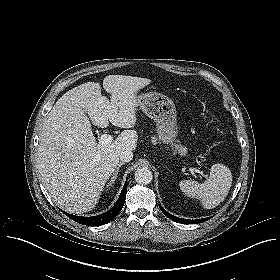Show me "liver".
I'll list each match as a JSON object with an SVG mask.
<instances>
[{
  "label": "liver",
  "instance_id": "6515ba94",
  "mask_svg": "<svg viewBox=\"0 0 280 280\" xmlns=\"http://www.w3.org/2000/svg\"><path fill=\"white\" fill-rule=\"evenodd\" d=\"M150 79L109 75L103 88L83 83L62 95L44 119L37 153L41 181L53 201L70 213L93 209L104 185L115 171L122 151L137 147V92ZM109 122L124 130L111 143H96L91 123L107 128Z\"/></svg>",
  "mask_w": 280,
  "mask_h": 280
}]
</instances>
